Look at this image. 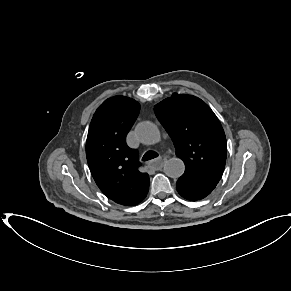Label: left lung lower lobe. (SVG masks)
<instances>
[{"mask_svg":"<svg viewBox=\"0 0 291 291\" xmlns=\"http://www.w3.org/2000/svg\"><path fill=\"white\" fill-rule=\"evenodd\" d=\"M178 193L185 199L187 200H190V201H196V200H200L199 198H196V197H193V196H190V195H187V194H184L182 192H179Z\"/></svg>","mask_w":291,"mask_h":291,"instance_id":"left-lung-lower-lobe-1","label":"left lung lower lobe"}]
</instances>
